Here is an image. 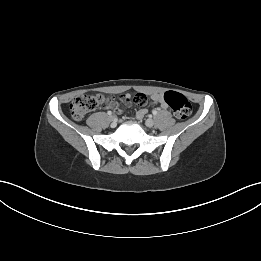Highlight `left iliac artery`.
<instances>
[{
    "mask_svg": "<svg viewBox=\"0 0 261 261\" xmlns=\"http://www.w3.org/2000/svg\"><path fill=\"white\" fill-rule=\"evenodd\" d=\"M152 113H153V115H156L158 113V111L157 110H153Z\"/></svg>",
    "mask_w": 261,
    "mask_h": 261,
    "instance_id": "44dca946",
    "label": "left iliac artery"
}]
</instances>
